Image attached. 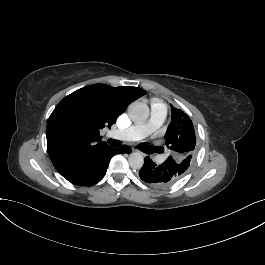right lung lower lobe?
<instances>
[{"mask_svg":"<svg viewBox=\"0 0 265 265\" xmlns=\"http://www.w3.org/2000/svg\"><path fill=\"white\" fill-rule=\"evenodd\" d=\"M130 152L131 148L127 145L121 148L107 147L89 157L74 173L64 178L75 185H94L105 176L109 161L114 155Z\"/></svg>","mask_w":265,"mask_h":265,"instance_id":"98d812e1","label":"right lung lower lobe"}]
</instances>
